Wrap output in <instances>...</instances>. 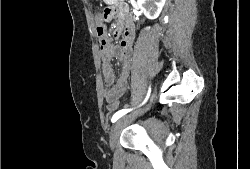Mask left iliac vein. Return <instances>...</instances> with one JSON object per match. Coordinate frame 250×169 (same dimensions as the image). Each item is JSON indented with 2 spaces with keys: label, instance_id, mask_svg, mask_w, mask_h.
<instances>
[{
  "label": "left iliac vein",
  "instance_id": "left-iliac-vein-1",
  "mask_svg": "<svg viewBox=\"0 0 250 169\" xmlns=\"http://www.w3.org/2000/svg\"><path fill=\"white\" fill-rule=\"evenodd\" d=\"M125 121H126V118H120L115 122V124L113 126V128L109 134L110 148L111 149H114V147L116 146V143H117L119 135H120V131H121Z\"/></svg>",
  "mask_w": 250,
  "mask_h": 169
}]
</instances>
